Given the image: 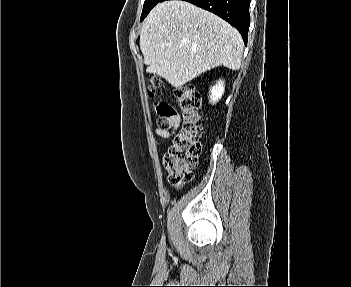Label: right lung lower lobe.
<instances>
[{"label": "right lung lower lobe", "instance_id": "obj_1", "mask_svg": "<svg viewBox=\"0 0 351 287\" xmlns=\"http://www.w3.org/2000/svg\"><path fill=\"white\" fill-rule=\"evenodd\" d=\"M165 0H161L163 2ZM198 7L208 10L231 25L241 34L247 44V35L250 25V0H184Z\"/></svg>", "mask_w": 351, "mask_h": 287}]
</instances>
